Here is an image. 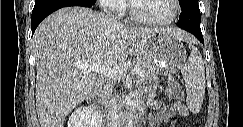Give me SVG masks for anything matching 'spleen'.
Returning <instances> with one entry per match:
<instances>
[{
  "instance_id": "obj_1",
  "label": "spleen",
  "mask_w": 243,
  "mask_h": 127,
  "mask_svg": "<svg viewBox=\"0 0 243 127\" xmlns=\"http://www.w3.org/2000/svg\"><path fill=\"white\" fill-rule=\"evenodd\" d=\"M191 54L181 72L186 82L187 105L193 113L202 107L205 95V68L198 49L190 44Z\"/></svg>"
}]
</instances>
